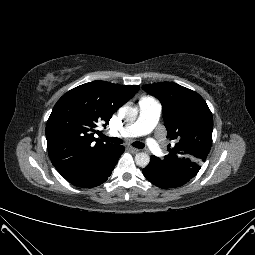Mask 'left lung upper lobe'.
Instances as JSON below:
<instances>
[{"label":"left lung upper lobe","instance_id":"left-lung-upper-lobe-1","mask_svg":"<svg viewBox=\"0 0 255 255\" xmlns=\"http://www.w3.org/2000/svg\"><path fill=\"white\" fill-rule=\"evenodd\" d=\"M160 100L168 137L176 141L168 146L163 160L155 163L169 171L193 178L205 161L212 143L213 117L204 99L195 91L171 82L143 85Z\"/></svg>","mask_w":255,"mask_h":255}]
</instances>
